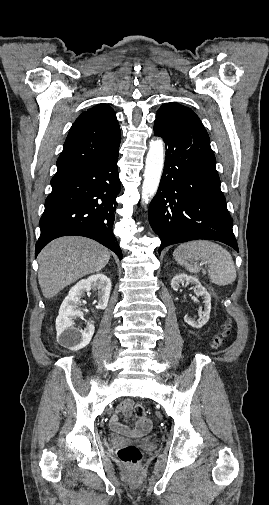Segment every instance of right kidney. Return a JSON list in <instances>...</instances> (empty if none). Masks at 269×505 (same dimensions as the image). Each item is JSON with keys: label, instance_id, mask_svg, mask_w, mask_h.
I'll return each instance as SVG.
<instances>
[{"label": "right kidney", "instance_id": "right-kidney-1", "mask_svg": "<svg viewBox=\"0 0 269 505\" xmlns=\"http://www.w3.org/2000/svg\"><path fill=\"white\" fill-rule=\"evenodd\" d=\"M91 290L97 292V308L105 309L110 297L111 280L99 273L79 281L70 289L56 318L57 339L64 347L72 351L86 347L95 331L93 321L89 322L84 330L75 327V319L83 316L78 305L85 293Z\"/></svg>", "mask_w": 269, "mask_h": 505}]
</instances>
